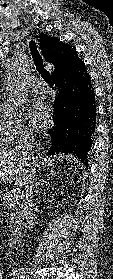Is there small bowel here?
Returning a JSON list of instances; mask_svg holds the SVG:
<instances>
[{
	"mask_svg": "<svg viewBox=\"0 0 113 279\" xmlns=\"http://www.w3.org/2000/svg\"><path fill=\"white\" fill-rule=\"evenodd\" d=\"M0 279H3V274L1 272V270H0Z\"/></svg>",
	"mask_w": 113,
	"mask_h": 279,
	"instance_id": "small-bowel-1",
	"label": "small bowel"
}]
</instances>
